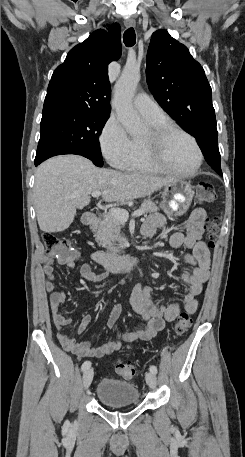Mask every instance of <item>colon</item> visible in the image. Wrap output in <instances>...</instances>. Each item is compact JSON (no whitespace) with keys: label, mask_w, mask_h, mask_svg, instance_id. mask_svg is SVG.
Masks as SVG:
<instances>
[{"label":"colon","mask_w":245,"mask_h":457,"mask_svg":"<svg viewBox=\"0 0 245 457\" xmlns=\"http://www.w3.org/2000/svg\"><path fill=\"white\" fill-rule=\"evenodd\" d=\"M197 199L202 203H211L216 198L214 186L209 182H201L196 187ZM218 218L212 217L207 220V243L210 247L214 245L218 232ZM43 244L46 252L51 256H72L76 252L72 247L70 241L64 237H60L54 233H44L42 236ZM192 320L188 313H181L175 322L174 330L176 334L181 335L187 331L191 326ZM116 372L124 379H131L136 373L135 367L124 360H117L115 364Z\"/></svg>","instance_id":"obj_1"}]
</instances>
